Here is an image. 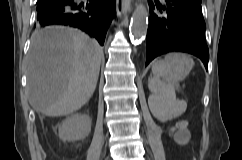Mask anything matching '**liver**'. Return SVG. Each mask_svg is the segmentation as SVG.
<instances>
[{
  "label": "liver",
  "mask_w": 242,
  "mask_h": 160,
  "mask_svg": "<svg viewBox=\"0 0 242 160\" xmlns=\"http://www.w3.org/2000/svg\"><path fill=\"white\" fill-rule=\"evenodd\" d=\"M103 48L80 30L51 27L33 33L27 58V93L34 110L66 116L93 95Z\"/></svg>",
  "instance_id": "obj_1"
}]
</instances>
